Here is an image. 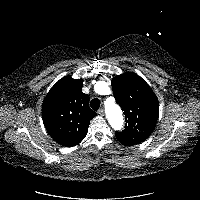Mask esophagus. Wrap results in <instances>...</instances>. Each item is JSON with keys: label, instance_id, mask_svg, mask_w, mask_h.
I'll use <instances>...</instances> for the list:
<instances>
[{"label": "esophagus", "instance_id": "34e87169", "mask_svg": "<svg viewBox=\"0 0 200 200\" xmlns=\"http://www.w3.org/2000/svg\"><path fill=\"white\" fill-rule=\"evenodd\" d=\"M98 114L101 115V116H103V115H104V110H103L102 108L99 109V110H98Z\"/></svg>", "mask_w": 200, "mask_h": 200}]
</instances>
